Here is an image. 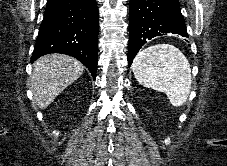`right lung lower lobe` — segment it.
Returning a JSON list of instances; mask_svg holds the SVG:
<instances>
[{
	"mask_svg": "<svg viewBox=\"0 0 227 166\" xmlns=\"http://www.w3.org/2000/svg\"><path fill=\"white\" fill-rule=\"evenodd\" d=\"M98 29L96 0H48L31 62L50 53L67 54L82 62L95 79Z\"/></svg>",
	"mask_w": 227,
	"mask_h": 166,
	"instance_id": "obj_1",
	"label": "right lung lower lobe"
}]
</instances>
